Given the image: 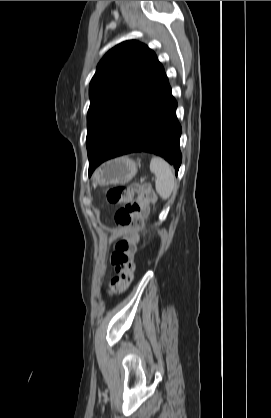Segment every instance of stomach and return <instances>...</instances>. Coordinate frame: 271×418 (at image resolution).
<instances>
[{
  "instance_id": "0dacf381",
  "label": "stomach",
  "mask_w": 271,
  "mask_h": 418,
  "mask_svg": "<svg viewBox=\"0 0 271 418\" xmlns=\"http://www.w3.org/2000/svg\"><path fill=\"white\" fill-rule=\"evenodd\" d=\"M137 173V163L124 156L112 159L99 166L93 174L94 185L108 186L125 184Z\"/></svg>"
}]
</instances>
